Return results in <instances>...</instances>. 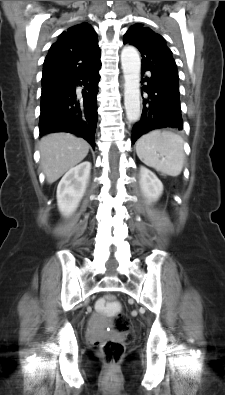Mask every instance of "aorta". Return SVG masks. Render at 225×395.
<instances>
[{
    "instance_id": "obj_1",
    "label": "aorta",
    "mask_w": 225,
    "mask_h": 395,
    "mask_svg": "<svg viewBox=\"0 0 225 395\" xmlns=\"http://www.w3.org/2000/svg\"><path fill=\"white\" fill-rule=\"evenodd\" d=\"M121 65L124 76V105L127 119L136 122L141 116L140 109V70L141 60L136 48L124 47L121 52Z\"/></svg>"
}]
</instances>
